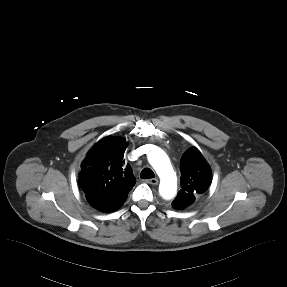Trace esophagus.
Masks as SVG:
<instances>
[{
    "label": "esophagus",
    "mask_w": 287,
    "mask_h": 287,
    "mask_svg": "<svg viewBox=\"0 0 287 287\" xmlns=\"http://www.w3.org/2000/svg\"><path fill=\"white\" fill-rule=\"evenodd\" d=\"M145 182L148 183V184L157 185L158 184V179L151 178V179H147Z\"/></svg>",
    "instance_id": "34e87169"
}]
</instances>
